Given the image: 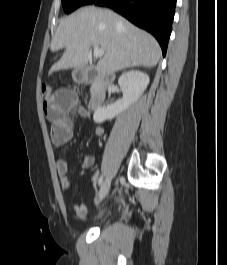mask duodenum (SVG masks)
Here are the masks:
<instances>
[{"label": "duodenum", "instance_id": "duodenum-1", "mask_svg": "<svg viewBox=\"0 0 227 265\" xmlns=\"http://www.w3.org/2000/svg\"><path fill=\"white\" fill-rule=\"evenodd\" d=\"M76 79L80 83L93 84V93L89 100L88 107L92 111L100 108L106 95L107 78L92 68L84 67L78 71Z\"/></svg>", "mask_w": 227, "mask_h": 265}]
</instances>
